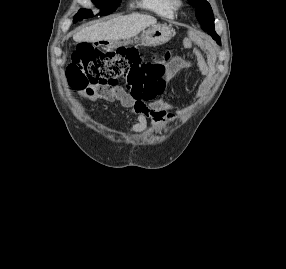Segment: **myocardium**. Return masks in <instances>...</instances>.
I'll use <instances>...</instances> for the list:
<instances>
[{
	"label": "myocardium",
	"mask_w": 286,
	"mask_h": 269,
	"mask_svg": "<svg viewBox=\"0 0 286 269\" xmlns=\"http://www.w3.org/2000/svg\"><path fill=\"white\" fill-rule=\"evenodd\" d=\"M173 10L178 9L182 5L181 0H169Z\"/></svg>",
	"instance_id": "1"
}]
</instances>
